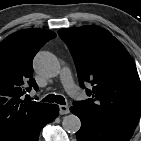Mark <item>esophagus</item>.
Wrapping results in <instances>:
<instances>
[{
	"label": "esophagus",
	"mask_w": 141,
	"mask_h": 141,
	"mask_svg": "<svg viewBox=\"0 0 141 141\" xmlns=\"http://www.w3.org/2000/svg\"><path fill=\"white\" fill-rule=\"evenodd\" d=\"M59 112L61 115L68 114L70 112L69 107L67 105H60Z\"/></svg>",
	"instance_id": "obj_1"
}]
</instances>
